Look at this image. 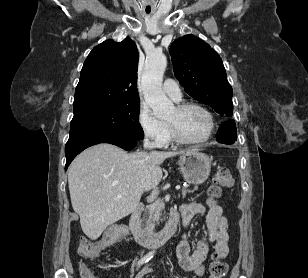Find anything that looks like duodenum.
I'll return each instance as SVG.
<instances>
[{
  "label": "duodenum",
  "mask_w": 308,
  "mask_h": 278,
  "mask_svg": "<svg viewBox=\"0 0 308 278\" xmlns=\"http://www.w3.org/2000/svg\"><path fill=\"white\" fill-rule=\"evenodd\" d=\"M143 206L138 205L133 210L129 219V228L134 239L149 248H156L168 241L176 232L178 225V215L172 211L166 225L158 232H149L140 225V217Z\"/></svg>",
  "instance_id": "410a0bca"
}]
</instances>
